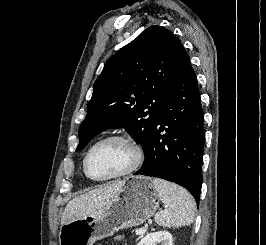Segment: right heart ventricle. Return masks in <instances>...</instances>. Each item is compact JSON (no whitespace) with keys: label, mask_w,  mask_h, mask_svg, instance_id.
Wrapping results in <instances>:
<instances>
[{"label":"right heart ventricle","mask_w":266,"mask_h":245,"mask_svg":"<svg viewBox=\"0 0 266 245\" xmlns=\"http://www.w3.org/2000/svg\"><path fill=\"white\" fill-rule=\"evenodd\" d=\"M82 171H83V168H82ZM83 174H84L85 177H87V176L85 175L84 171H83Z\"/></svg>","instance_id":"e07e8e85"}]
</instances>
